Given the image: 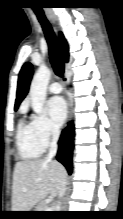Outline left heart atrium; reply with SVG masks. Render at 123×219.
<instances>
[{"label": "left heart atrium", "instance_id": "1", "mask_svg": "<svg viewBox=\"0 0 123 219\" xmlns=\"http://www.w3.org/2000/svg\"><path fill=\"white\" fill-rule=\"evenodd\" d=\"M48 111L56 125H61L67 116V105L62 97H52L48 102Z\"/></svg>", "mask_w": 123, "mask_h": 219}]
</instances>
